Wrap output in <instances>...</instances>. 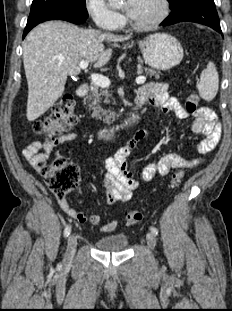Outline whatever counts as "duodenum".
<instances>
[{
  "mask_svg": "<svg viewBox=\"0 0 232 311\" xmlns=\"http://www.w3.org/2000/svg\"><path fill=\"white\" fill-rule=\"evenodd\" d=\"M88 92V84L82 83L77 88V95L79 97H84ZM138 100L136 99V104H138ZM138 121V116H132L128 118L124 123L118 126L113 127H101L97 130V134L100 137L101 140H117L119 139L121 133L132 127L136 122Z\"/></svg>",
  "mask_w": 232,
  "mask_h": 311,
  "instance_id": "1",
  "label": "duodenum"
}]
</instances>
